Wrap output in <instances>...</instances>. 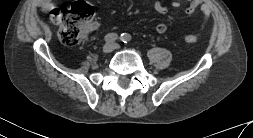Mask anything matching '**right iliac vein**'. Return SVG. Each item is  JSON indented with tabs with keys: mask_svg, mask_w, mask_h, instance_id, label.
Returning <instances> with one entry per match:
<instances>
[{
	"mask_svg": "<svg viewBox=\"0 0 253 138\" xmlns=\"http://www.w3.org/2000/svg\"><path fill=\"white\" fill-rule=\"evenodd\" d=\"M114 49V45L112 43H106L103 48L102 51L104 54H109L113 51Z\"/></svg>",
	"mask_w": 253,
	"mask_h": 138,
	"instance_id": "63e3f726",
	"label": "right iliac vein"
}]
</instances>
